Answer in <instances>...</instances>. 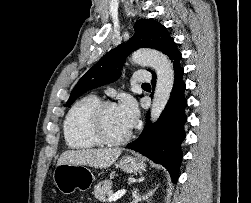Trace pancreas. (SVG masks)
Returning a JSON list of instances; mask_svg holds the SVG:
<instances>
[{
  "label": "pancreas",
  "instance_id": "obj_1",
  "mask_svg": "<svg viewBox=\"0 0 251 203\" xmlns=\"http://www.w3.org/2000/svg\"><path fill=\"white\" fill-rule=\"evenodd\" d=\"M111 185H112V182L110 180H103L99 182L95 186L94 191H93L95 198L101 202H105L106 197H109L112 195Z\"/></svg>",
  "mask_w": 251,
  "mask_h": 203
}]
</instances>
